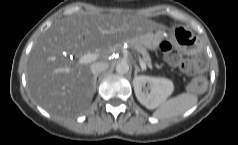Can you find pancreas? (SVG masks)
I'll return each instance as SVG.
<instances>
[{
    "instance_id": "obj_1",
    "label": "pancreas",
    "mask_w": 238,
    "mask_h": 145,
    "mask_svg": "<svg viewBox=\"0 0 238 145\" xmlns=\"http://www.w3.org/2000/svg\"><path fill=\"white\" fill-rule=\"evenodd\" d=\"M128 44H129V47H131V48L137 50L139 53H141L143 56L144 63L147 64V66L149 68H152L150 55L147 51L146 46L142 42V40H140L138 38L131 39L128 41Z\"/></svg>"
}]
</instances>
